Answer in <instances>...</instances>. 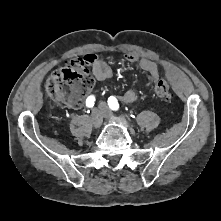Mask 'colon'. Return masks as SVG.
Wrapping results in <instances>:
<instances>
[{"label": "colon", "mask_w": 221, "mask_h": 221, "mask_svg": "<svg viewBox=\"0 0 221 221\" xmlns=\"http://www.w3.org/2000/svg\"><path fill=\"white\" fill-rule=\"evenodd\" d=\"M87 64L85 58L66 61L62 68L54 71L45 81L46 93L54 100L79 107L94 85ZM155 93L161 99H171L172 94L167 80L161 79L157 82Z\"/></svg>", "instance_id": "colon-1"}]
</instances>
